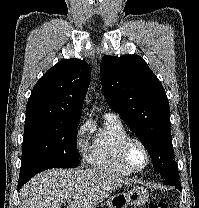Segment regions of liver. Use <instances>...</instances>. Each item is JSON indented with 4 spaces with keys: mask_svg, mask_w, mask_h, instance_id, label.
Returning <instances> with one entry per match:
<instances>
[{
    "mask_svg": "<svg viewBox=\"0 0 199 208\" xmlns=\"http://www.w3.org/2000/svg\"><path fill=\"white\" fill-rule=\"evenodd\" d=\"M101 169H51L34 176L20 190L21 208H95L118 187L129 185Z\"/></svg>",
    "mask_w": 199,
    "mask_h": 208,
    "instance_id": "1",
    "label": "liver"
}]
</instances>
